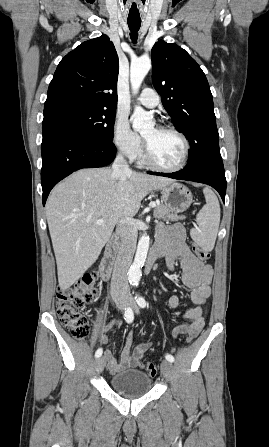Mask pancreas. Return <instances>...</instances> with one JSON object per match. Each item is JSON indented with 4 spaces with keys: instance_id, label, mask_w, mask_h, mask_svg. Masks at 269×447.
<instances>
[{
    "instance_id": "1",
    "label": "pancreas",
    "mask_w": 269,
    "mask_h": 447,
    "mask_svg": "<svg viewBox=\"0 0 269 447\" xmlns=\"http://www.w3.org/2000/svg\"><path fill=\"white\" fill-rule=\"evenodd\" d=\"M154 218L159 220H171V222H178V220H185V216H177V214H171V210H168L164 204L156 206L153 214Z\"/></svg>"
}]
</instances>
